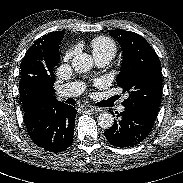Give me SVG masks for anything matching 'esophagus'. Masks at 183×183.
<instances>
[{"label": "esophagus", "mask_w": 183, "mask_h": 183, "mask_svg": "<svg viewBox=\"0 0 183 183\" xmlns=\"http://www.w3.org/2000/svg\"><path fill=\"white\" fill-rule=\"evenodd\" d=\"M84 108H85V109H88V110H91V111L94 112V113H97V112L100 111L99 108H97V107H95V106H92V105H85Z\"/></svg>", "instance_id": "esophagus-1"}]
</instances>
